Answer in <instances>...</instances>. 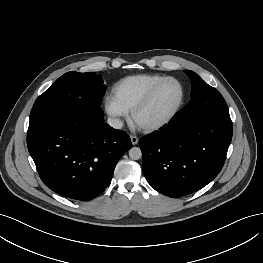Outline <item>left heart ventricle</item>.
<instances>
[{"instance_id": "left-heart-ventricle-1", "label": "left heart ventricle", "mask_w": 263, "mask_h": 263, "mask_svg": "<svg viewBox=\"0 0 263 263\" xmlns=\"http://www.w3.org/2000/svg\"><path fill=\"white\" fill-rule=\"evenodd\" d=\"M181 86L173 80L166 81L155 93L151 103L136 118L138 124H149L168 116L179 104Z\"/></svg>"}]
</instances>
